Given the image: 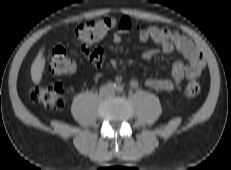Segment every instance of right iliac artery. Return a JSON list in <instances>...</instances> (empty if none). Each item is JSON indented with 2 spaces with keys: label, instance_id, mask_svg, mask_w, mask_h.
<instances>
[{
  "label": "right iliac artery",
  "instance_id": "obj_1",
  "mask_svg": "<svg viewBox=\"0 0 231 170\" xmlns=\"http://www.w3.org/2000/svg\"><path fill=\"white\" fill-rule=\"evenodd\" d=\"M107 87L111 90H115L117 88L116 83L114 82H108Z\"/></svg>",
  "mask_w": 231,
  "mask_h": 170
}]
</instances>
